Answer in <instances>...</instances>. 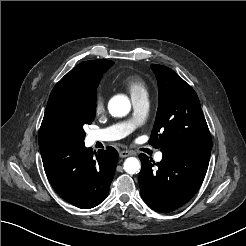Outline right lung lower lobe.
Listing matches in <instances>:
<instances>
[{"label":"right lung lower lobe","instance_id":"obj_1","mask_svg":"<svg viewBox=\"0 0 246 246\" xmlns=\"http://www.w3.org/2000/svg\"><path fill=\"white\" fill-rule=\"evenodd\" d=\"M40 152L47 178L64 200L89 209L107 197L118 160L116 149L107 147L93 157L84 140L54 137L40 144Z\"/></svg>","mask_w":246,"mask_h":246}]
</instances>
